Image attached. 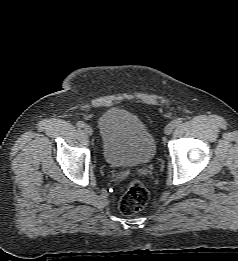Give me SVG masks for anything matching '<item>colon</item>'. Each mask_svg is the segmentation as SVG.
Here are the masks:
<instances>
[{"label":"colon","instance_id":"colon-1","mask_svg":"<svg viewBox=\"0 0 238 261\" xmlns=\"http://www.w3.org/2000/svg\"><path fill=\"white\" fill-rule=\"evenodd\" d=\"M149 200V190L139 179H133L119 202L122 214L130 216L142 210Z\"/></svg>","mask_w":238,"mask_h":261}]
</instances>
